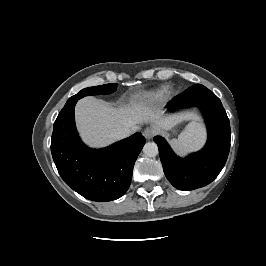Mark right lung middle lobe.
Returning a JSON list of instances; mask_svg holds the SVG:
<instances>
[{"label":"right lung middle lobe","instance_id":"right-lung-middle-lobe-1","mask_svg":"<svg viewBox=\"0 0 266 266\" xmlns=\"http://www.w3.org/2000/svg\"><path fill=\"white\" fill-rule=\"evenodd\" d=\"M116 87H117V83H110V84H105V85H101V86H94V87L82 89L79 93L70 97L65 105H67L73 101H77V100L83 98L84 96L112 93L116 90Z\"/></svg>","mask_w":266,"mask_h":266}]
</instances>
